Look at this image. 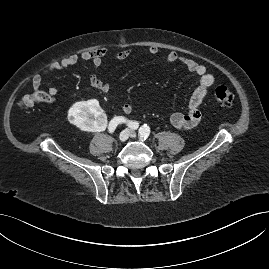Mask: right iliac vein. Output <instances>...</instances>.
<instances>
[{
  "mask_svg": "<svg viewBox=\"0 0 269 269\" xmlns=\"http://www.w3.org/2000/svg\"><path fill=\"white\" fill-rule=\"evenodd\" d=\"M129 134H130V131L128 129H124L119 135V140L121 142H125L129 136Z\"/></svg>",
  "mask_w": 269,
  "mask_h": 269,
  "instance_id": "63e3f726",
  "label": "right iliac vein"
}]
</instances>
